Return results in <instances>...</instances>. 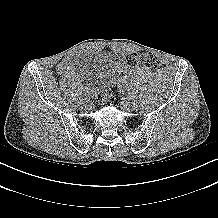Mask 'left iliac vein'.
Segmentation results:
<instances>
[{
    "label": "left iliac vein",
    "instance_id": "left-iliac-vein-1",
    "mask_svg": "<svg viewBox=\"0 0 218 218\" xmlns=\"http://www.w3.org/2000/svg\"><path fill=\"white\" fill-rule=\"evenodd\" d=\"M122 105H123V107L124 108H129L130 106H131V102H130V100L129 99H124L123 101H122Z\"/></svg>",
    "mask_w": 218,
    "mask_h": 218
}]
</instances>
